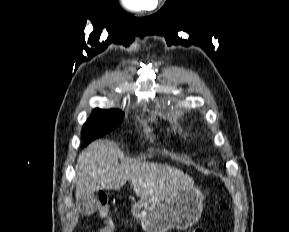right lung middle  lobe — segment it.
Listing matches in <instances>:
<instances>
[{"label":"right lung middle lobe","instance_id":"obj_1","mask_svg":"<svg viewBox=\"0 0 289 232\" xmlns=\"http://www.w3.org/2000/svg\"><path fill=\"white\" fill-rule=\"evenodd\" d=\"M124 113L118 109H95L84 124L82 137L86 143L103 136L121 124Z\"/></svg>","mask_w":289,"mask_h":232}]
</instances>
